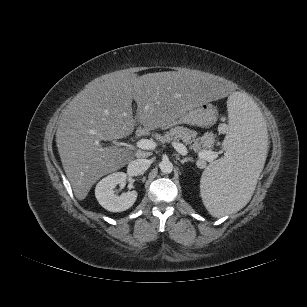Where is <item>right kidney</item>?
<instances>
[{
  "label": "right kidney",
  "instance_id": "right-kidney-1",
  "mask_svg": "<svg viewBox=\"0 0 307 307\" xmlns=\"http://www.w3.org/2000/svg\"><path fill=\"white\" fill-rule=\"evenodd\" d=\"M127 175L124 172L112 173L100 180L95 188V196L99 204L110 212H122L129 209L137 199L135 190L117 196L114 188L125 183Z\"/></svg>",
  "mask_w": 307,
  "mask_h": 307
}]
</instances>
